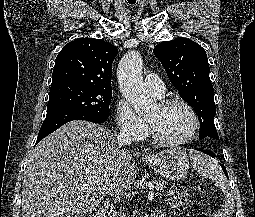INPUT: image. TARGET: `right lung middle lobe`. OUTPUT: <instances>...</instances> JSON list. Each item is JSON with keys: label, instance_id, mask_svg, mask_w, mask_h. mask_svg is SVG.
Returning <instances> with one entry per match:
<instances>
[{"label": "right lung middle lobe", "instance_id": "right-lung-middle-lobe-1", "mask_svg": "<svg viewBox=\"0 0 255 217\" xmlns=\"http://www.w3.org/2000/svg\"><path fill=\"white\" fill-rule=\"evenodd\" d=\"M111 98V88L64 84L51 87L47 110L55 107H67L106 119L109 116Z\"/></svg>", "mask_w": 255, "mask_h": 217}]
</instances>
